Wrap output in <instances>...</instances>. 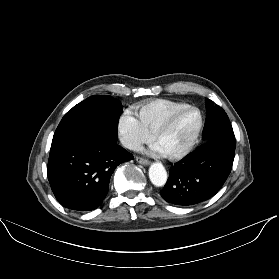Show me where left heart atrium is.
<instances>
[{
	"label": "left heart atrium",
	"mask_w": 279,
	"mask_h": 279,
	"mask_svg": "<svg viewBox=\"0 0 279 279\" xmlns=\"http://www.w3.org/2000/svg\"><path fill=\"white\" fill-rule=\"evenodd\" d=\"M155 150L160 154H165L162 148L159 145H156Z\"/></svg>",
	"instance_id": "39dd6f15"
}]
</instances>
